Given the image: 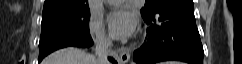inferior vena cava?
<instances>
[{
  "label": "inferior vena cava",
  "instance_id": "obj_1",
  "mask_svg": "<svg viewBox=\"0 0 242 64\" xmlns=\"http://www.w3.org/2000/svg\"><path fill=\"white\" fill-rule=\"evenodd\" d=\"M112 47V41L104 35L100 36L95 41V54L97 56L98 64H109L107 59L109 48Z\"/></svg>",
  "mask_w": 242,
  "mask_h": 64
}]
</instances>
